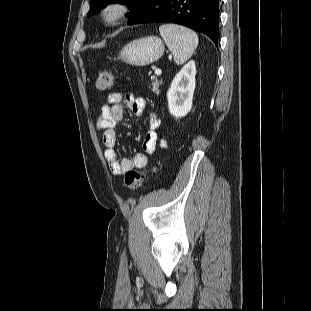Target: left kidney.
Returning <instances> with one entry per match:
<instances>
[{"label": "left kidney", "mask_w": 311, "mask_h": 311, "mask_svg": "<svg viewBox=\"0 0 311 311\" xmlns=\"http://www.w3.org/2000/svg\"><path fill=\"white\" fill-rule=\"evenodd\" d=\"M195 75V62L191 60L177 73L167 91L169 112L176 118L184 117L192 108Z\"/></svg>", "instance_id": "left-kidney-1"}]
</instances>
